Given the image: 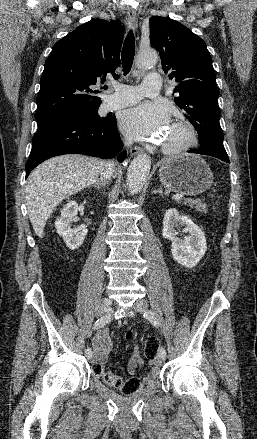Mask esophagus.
I'll use <instances>...</instances> for the list:
<instances>
[{"instance_id": "obj_1", "label": "esophagus", "mask_w": 257, "mask_h": 439, "mask_svg": "<svg viewBox=\"0 0 257 439\" xmlns=\"http://www.w3.org/2000/svg\"><path fill=\"white\" fill-rule=\"evenodd\" d=\"M127 21L129 26L135 31L138 25L137 13L135 9L130 7L127 8ZM142 152L143 150L140 147L135 146L130 148V154L133 156Z\"/></svg>"}]
</instances>
